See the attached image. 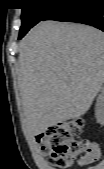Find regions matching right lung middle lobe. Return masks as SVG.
<instances>
[{"label":"right lung middle lobe","instance_id":"dd1d6c3e","mask_svg":"<svg viewBox=\"0 0 104 169\" xmlns=\"http://www.w3.org/2000/svg\"><path fill=\"white\" fill-rule=\"evenodd\" d=\"M22 25L19 32L21 39L34 25L44 18L58 5L56 0H22Z\"/></svg>","mask_w":104,"mask_h":169}]
</instances>
